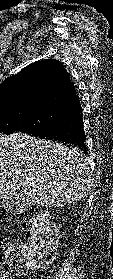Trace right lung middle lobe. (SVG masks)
Wrapping results in <instances>:
<instances>
[{
    "label": "right lung middle lobe",
    "mask_w": 113,
    "mask_h": 279,
    "mask_svg": "<svg viewBox=\"0 0 113 279\" xmlns=\"http://www.w3.org/2000/svg\"><path fill=\"white\" fill-rule=\"evenodd\" d=\"M68 113L69 111L46 107L2 109L0 110V133L33 134L43 127L58 123Z\"/></svg>",
    "instance_id": "dd1d6c3e"
}]
</instances>
